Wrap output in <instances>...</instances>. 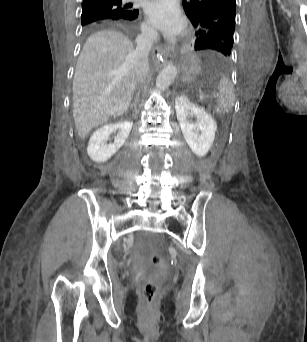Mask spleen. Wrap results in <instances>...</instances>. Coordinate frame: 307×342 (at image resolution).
I'll use <instances>...</instances> for the list:
<instances>
[{"label":"spleen","instance_id":"1","mask_svg":"<svg viewBox=\"0 0 307 342\" xmlns=\"http://www.w3.org/2000/svg\"><path fill=\"white\" fill-rule=\"evenodd\" d=\"M216 102L219 114H233L235 94L228 76H221L217 86Z\"/></svg>","mask_w":307,"mask_h":342}]
</instances>
